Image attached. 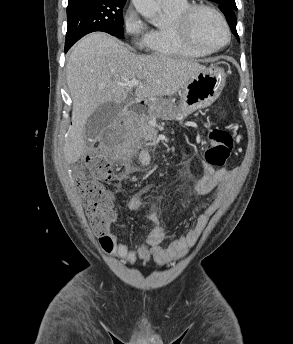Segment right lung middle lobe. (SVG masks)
<instances>
[{
  "mask_svg": "<svg viewBox=\"0 0 293 344\" xmlns=\"http://www.w3.org/2000/svg\"><path fill=\"white\" fill-rule=\"evenodd\" d=\"M125 0H81L68 3L65 51L84 35L103 31L123 39Z\"/></svg>",
  "mask_w": 293,
  "mask_h": 344,
  "instance_id": "right-lung-middle-lobe-1",
  "label": "right lung middle lobe"
}]
</instances>
